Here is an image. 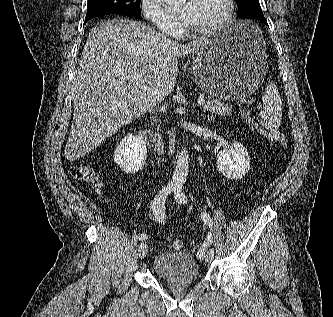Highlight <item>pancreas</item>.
Wrapping results in <instances>:
<instances>
[{
	"label": "pancreas",
	"instance_id": "1",
	"mask_svg": "<svg viewBox=\"0 0 333 317\" xmlns=\"http://www.w3.org/2000/svg\"><path fill=\"white\" fill-rule=\"evenodd\" d=\"M203 109L212 114H219V115H229L232 111V108L228 103L221 102L219 100H214L211 98L207 99V102L203 106Z\"/></svg>",
	"mask_w": 333,
	"mask_h": 317
}]
</instances>
